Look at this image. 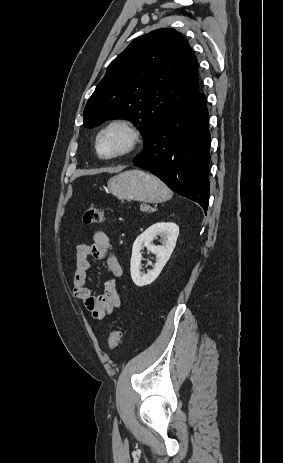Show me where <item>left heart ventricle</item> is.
<instances>
[{
    "mask_svg": "<svg viewBox=\"0 0 283 463\" xmlns=\"http://www.w3.org/2000/svg\"><path fill=\"white\" fill-rule=\"evenodd\" d=\"M127 142V135L121 129H113L102 136L99 142V152L108 156L121 150Z\"/></svg>",
    "mask_w": 283,
    "mask_h": 463,
    "instance_id": "left-heart-ventricle-1",
    "label": "left heart ventricle"
}]
</instances>
